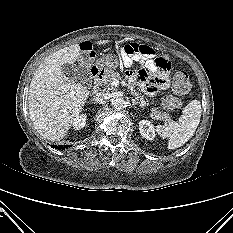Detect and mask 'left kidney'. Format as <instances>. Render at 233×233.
Masks as SVG:
<instances>
[{"label": "left kidney", "instance_id": "5707ae66", "mask_svg": "<svg viewBox=\"0 0 233 233\" xmlns=\"http://www.w3.org/2000/svg\"><path fill=\"white\" fill-rule=\"evenodd\" d=\"M139 131L141 135L147 140H154L155 138V130L150 121L141 120L139 122Z\"/></svg>", "mask_w": 233, "mask_h": 233}]
</instances>
